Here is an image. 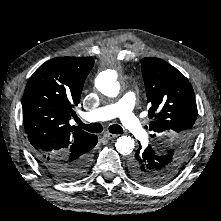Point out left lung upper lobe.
I'll return each mask as SVG.
<instances>
[{"label": "left lung upper lobe", "instance_id": "5c2ea615", "mask_svg": "<svg viewBox=\"0 0 221 221\" xmlns=\"http://www.w3.org/2000/svg\"><path fill=\"white\" fill-rule=\"evenodd\" d=\"M146 96L150 104L151 137L158 140L161 167L155 178L167 183L182 169L193 147L197 105L193 88L175 67L159 58L141 60ZM159 186V185H158Z\"/></svg>", "mask_w": 221, "mask_h": 221}]
</instances>
